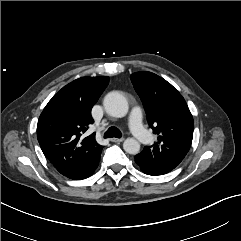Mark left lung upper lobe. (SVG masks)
Instances as JSON below:
<instances>
[{"label":"left lung upper lobe","instance_id":"5c2ea615","mask_svg":"<svg viewBox=\"0 0 241 241\" xmlns=\"http://www.w3.org/2000/svg\"><path fill=\"white\" fill-rule=\"evenodd\" d=\"M131 81L141 98L150 127L158 135L153 146L135 156L142 166L176 168L188 153L194 121L181 94L166 80L151 72H137Z\"/></svg>","mask_w":241,"mask_h":241}]
</instances>
